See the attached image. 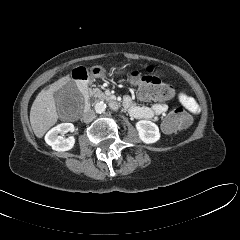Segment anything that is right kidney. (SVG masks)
Segmentation results:
<instances>
[{
    "instance_id": "ca27d5eb",
    "label": "right kidney",
    "mask_w": 240,
    "mask_h": 240,
    "mask_svg": "<svg viewBox=\"0 0 240 240\" xmlns=\"http://www.w3.org/2000/svg\"><path fill=\"white\" fill-rule=\"evenodd\" d=\"M74 125L72 123H61L47 132L45 135V142L56 151H68L73 148L75 139L73 136L63 138L60 134L73 131Z\"/></svg>"
}]
</instances>
